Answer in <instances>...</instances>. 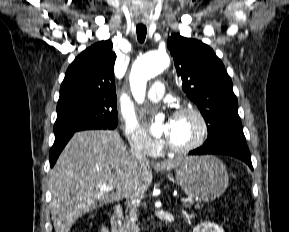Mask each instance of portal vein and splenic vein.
I'll use <instances>...</instances> for the list:
<instances>
[{"label":"portal vein and splenic vein","mask_w":289,"mask_h":232,"mask_svg":"<svg viewBox=\"0 0 289 232\" xmlns=\"http://www.w3.org/2000/svg\"><path fill=\"white\" fill-rule=\"evenodd\" d=\"M99 188H100V190H102V191H113V187H111V186H109V185H106V184H104V185H99ZM181 201L183 202V203H194V200H192V199H189V198H181Z\"/></svg>","instance_id":"obj_1"}]
</instances>
